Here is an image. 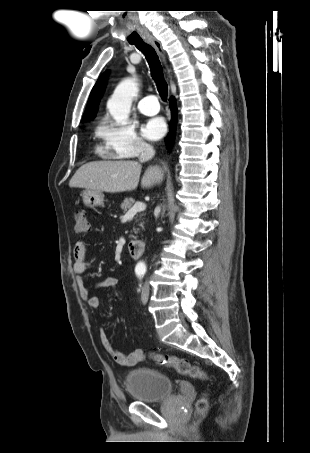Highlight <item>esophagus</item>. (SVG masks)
I'll use <instances>...</instances> for the list:
<instances>
[{"instance_id": "34e87169", "label": "esophagus", "mask_w": 310, "mask_h": 453, "mask_svg": "<svg viewBox=\"0 0 310 453\" xmlns=\"http://www.w3.org/2000/svg\"><path fill=\"white\" fill-rule=\"evenodd\" d=\"M146 41L155 48V50L158 52V54L162 57L163 61L165 62L164 50L162 48L161 43L153 37H147Z\"/></svg>"}]
</instances>
